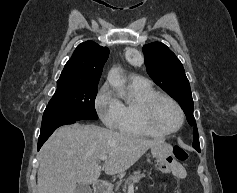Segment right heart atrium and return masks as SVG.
Masks as SVG:
<instances>
[{
  "mask_svg": "<svg viewBox=\"0 0 237 193\" xmlns=\"http://www.w3.org/2000/svg\"><path fill=\"white\" fill-rule=\"evenodd\" d=\"M94 106L102 122L111 128H116L119 116V101L108 84H104L97 92Z\"/></svg>",
  "mask_w": 237,
  "mask_h": 193,
  "instance_id": "obj_1",
  "label": "right heart atrium"
}]
</instances>
